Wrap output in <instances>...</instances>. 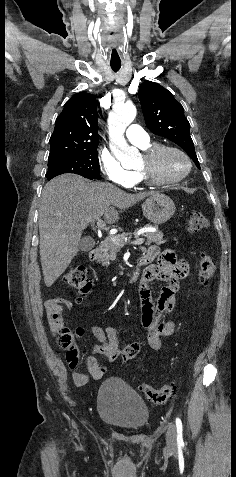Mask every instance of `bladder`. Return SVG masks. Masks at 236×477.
<instances>
[{"label": "bladder", "mask_w": 236, "mask_h": 477, "mask_svg": "<svg viewBox=\"0 0 236 477\" xmlns=\"http://www.w3.org/2000/svg\"><path fill=\"white\" fill-rule=\"evenodd\" d=\"M96 398L100 418L105 423L127 431H140L147 426L150 419L148 407L121 378L105 379Z\"/></svg>", "instance_id": "bladder-1"}]
</instances>
